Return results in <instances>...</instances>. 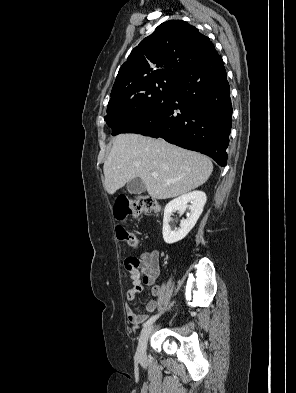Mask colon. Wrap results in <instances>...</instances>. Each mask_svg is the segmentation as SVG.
<instances>
[{"mask_svg":"<svg viewBox=\"0 0 296 393\" xmlns=\"http://www.w3.org/2000/svg\"><path fill=\"white\" fill-rule=\"evenodd\" d=\"M159 210L157 201L150 196H140L133 201L121 199L116 203L115 215L118 219H124L127 216H138L142 213H153ZM116 236L119 240L126 242L132 248H138L139 242L136 235L123 226L116 227Z\"/></svg>","mask_w":296,"mask_h":393,"instance_id":"colon-1","label":"colon"}]
</instances>
